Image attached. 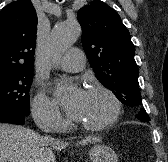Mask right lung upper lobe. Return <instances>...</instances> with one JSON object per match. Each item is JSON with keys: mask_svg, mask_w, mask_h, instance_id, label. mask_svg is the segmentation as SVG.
<instances>
[{"mask_svg": "<svg viewBox=\"0 0 168 162\" xmlns=\"http://www.w3.org/2000/svg\"><path fill=\"white\" fill-rule=\"evenodd\" d=\"M36 11L29 0H17L0 11V77L33 71Z\"/></svg>", "mask_w": 168, "mask_h": 162, "instance_id": "right-lung-upper-lobe-1", "label": "right lung upper lobe"}]
</instances>
